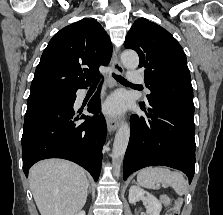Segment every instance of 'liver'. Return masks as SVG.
<instances>
[{
	"label": "liver",
	"mask_w": 223,
	"mask_h": 215,
	"mask_svg": "<svg viewBox=\"0 0 223 215\" xmlns=\"http://www.w3.org/2000/svg\"><path fill=\"white\" fill-rule=\"evenodd\" d=\"M30 189L41 215H73L87 199L89 181L80 165L44 159L29 171Z\"/></svg>",
	"instance_id": "1"
}]
</instances>
